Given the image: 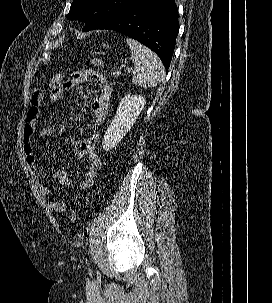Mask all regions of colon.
<instances>
[{"mask_svg": "<svg viewBox=\"0 0 272 303\" xmlns=\"http://www.w3.org/2000/svg\"><path fill=\"white\" fill-rule=\"evenodd\" d=\"M92 64L97 67H103L105 62L102 58L96 57L92 59ZM111 75L115 78L120 76V70L117 68L111 69ZM63 74H56L53 76L50 85L49 92L50 97L53 101H57L61 98L63 92ZM69 217L71 221H76L78 218L77 212L75 210H71L69 213Z\"/></svg>", "mask_w": 272, "mask_h": 303, "instance_id": "5ec220e1", "label": "colon"}]
</instances>
